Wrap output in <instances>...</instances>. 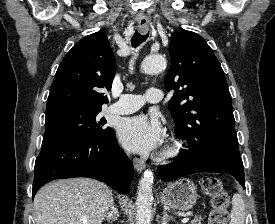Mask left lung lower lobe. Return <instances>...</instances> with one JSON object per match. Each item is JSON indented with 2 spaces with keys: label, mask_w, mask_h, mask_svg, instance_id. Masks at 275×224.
Segmentation results:
<instances>
[{
  "label": "left lung lower lobe",
  "mask_w": 275,
  "mask_h": 224,
  "mask_svg": "<svg viewBox=\"0 0 275 224\" xmlns=\"http://www.w3.org/2000/svg\"><path fill=\"white\" fill-rule=\"evenodd\" d=\"M199 171L223 172L244 186V167L236 145H198L180 151L176 161L158 166L162 181H172Z\"/></svg>",
  "instance_id": "obj_1"
}]
</instances>
